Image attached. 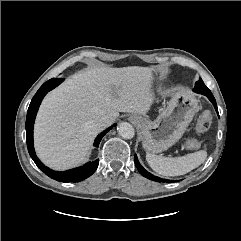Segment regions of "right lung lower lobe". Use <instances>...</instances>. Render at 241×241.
Instances as JSON below:
<instances>
[{
	"label": "right lung lower lobe",
	"instance_id": "right-lung-lower-lobe-1",
	"mask_svg": "<svg viewBox=\"0 0 241 241\" xmlns=\"http://www.w3.org/2000/svg\"><path fill=\"white\" fill-rule=\"evenodd\" d=\"M55 86H56V83H54L53 85L47 86V87L42 86L37 91V93L34 95L32 101L30 103V106L27 111V118H26V124H25L27 148H28L31 158L33 159L35 164L38 166V168L41 169L49 177H51L57 181H60V182H79V181H82V180L88 178L95 172V170L98 167V162H99L98 159L93 162H88L82 167H78V168L68 170L65 172H57V171H53V170L49 169L48 167H46L41 161H39V159L35 155V151H34V147H33V127H34L36 113L38 111V108H39L40 103H41L42 99L44 98V96L47 94L48 91L55 88ZM115 125L116 124H114L113 126H115ZM113 126L109 127L108 129H106L104 132H102L101 134H99L97 136V138L94 142V146L97 147L99 145L103 136L110 129H112Z\"/></svg>",
	"mask_w": 241,
	"mask_h": 241
}]
</instances>
